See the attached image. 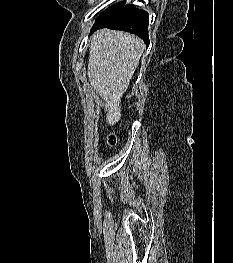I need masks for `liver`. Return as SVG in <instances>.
Returning <instances> with one entry per match:
<instances>
[{
  "instance_id": "liver-1",
  "label": "liver",
  "mask_w": 233,
  "mask_h": 263,
  "mask_svg": "<svg viewBox=\"0 0 233 263\" xmlns=\"http://www.w3.org/2000/svg\"><path fill=\"white\" fill-rule=\"evenodd\" d=\"M145 48L137 36L123 31L102 29L90 44L87 75L93 89L106 102L107 123L116 124L121 117V97L138 67Z\"/></svg>"
}]
</instances>
